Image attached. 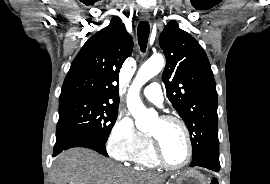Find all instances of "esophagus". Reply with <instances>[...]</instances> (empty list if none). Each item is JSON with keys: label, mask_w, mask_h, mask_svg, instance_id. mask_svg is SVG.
I'll use <instances>...</instances> for the list:
<instances>
[{"label": "esophagus", "mask_w": 270, "mask_h": 184, "mask_svg": "<svg viewBox=\"0 0 270 184\" xmlns=\"http://www.w3.org/2000/svg\"><path fill=\"white\" fill-rule=\"evenodd\" d=\"M140 18L144 21H147L150 18V14L148 10H142L140 14Z\"/></svg>", "instance_id": "34e87169"}]
</instances>
